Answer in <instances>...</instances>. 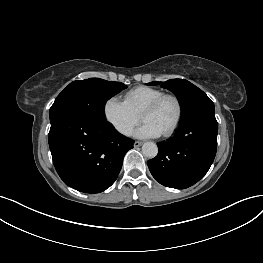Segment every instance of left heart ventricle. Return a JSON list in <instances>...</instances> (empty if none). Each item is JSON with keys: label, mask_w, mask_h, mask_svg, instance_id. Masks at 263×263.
Instances as JSON below:
<instances>
[{"label": "left heart ventricle", "mask_w": 263, "mask_h": 263, "mask_svg": "<svg viewBox=\"0 0 263 263\" xmlns=\"http://www.w3.org/2000/svg\"><path fill=\"white\" fill-rule=\"evenodd\" d=\"M177 107L173 100H165L157 109L143 115V120L153 123L162 133L167 131L175 120Z\"/></svg>", "instance_id": "b2bd125f"}]
</instances>
